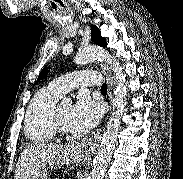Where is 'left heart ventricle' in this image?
Segmentation results:
<instances>
[{
	"label": "left heart ventricle",
	"mask_w": 183,
	"mask_h": 179,
	"mask_svg": "<svg viewBox=\"0 0 183 179\" xmlns=\"http://www.w3.org/2000/svg\"><path fill=\"white\" fill-rule=\"evenodd\" d=\"M71 110H72V107L69 104H63L58 107L59 120H60L61 124L63 125V127L69 131L72 130L69 125Z\"/></svg>",
	"instance_id": "obj_1"
}]
</instances>
